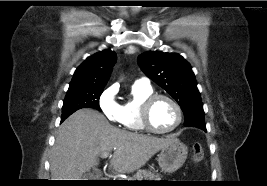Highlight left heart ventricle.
Here are the masks:
<instances>
[{
  "mask_svg": "<svg viewBox=\"0 0 267 186\" xmlns=\"http://www.w3.org/2000/svg\"><path fill=\"white\" fill-rule=\"evenodd\" d=\"M150 118L155 128L164 130L174 125L177 113L169 101L159 99L152 106Z\"/></svg>",
  "mask_w": 267,
  "mask_h": 186,
  "instance_id": "left-heart-ventricle-1",
  "label": "left heart ventricle"
}]
</instances>
